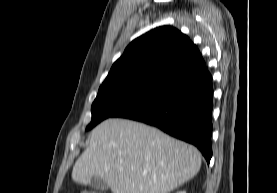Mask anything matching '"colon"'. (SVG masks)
Listing matches in <instances>:
<instances>
[{
  "instance_id": "1",
  "label": "colon",
  "mask_w": 277,
  "mask_h": 193,
  "mask_svg": "<svg viewBox=\"0 0 277 193\" xmlns=\"http://www.w3.org/2000/svg\"><path fill=\"white\" fill-rule=\"evenodd\" d=\"M80 193H97V192H93V191H81Z\"/></svg>"
}]
</instances>
